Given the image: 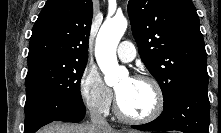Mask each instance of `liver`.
Here are the masks:
<instances>
[{"mask_svg":"<svg viewBox=\"0 0 221 133\" xmlns=\"http://www.w3.org/2000/svg\"><path fill=\"white\" fill-rule=\"evenodd\" d=\"M38 133H124L120 130L112 129L111 127L105 129H99L93 124L87 125H73L67 123H52ZM126 133H137L135 131H128Z\"/></svg>","mask_w":221,"mask_h":133,"instance_id":"6515ba94","label":"liver"}]
</instances>
